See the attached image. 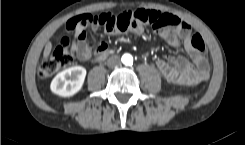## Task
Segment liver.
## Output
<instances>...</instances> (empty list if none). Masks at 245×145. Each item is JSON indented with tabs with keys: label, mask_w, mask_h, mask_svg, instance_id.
<instances>
[{
	"label": "liver",
	"mask_w": 245,
	"mask_h": 145,
	"mask_svg": "<svg viewBox=\"0 0 245 145\" xmlns=\"http://www.w3.org/2000/svg\"><path fill=\"white\" fill-rule=\"evenodd\" d=\"M51 50H52V43L49 41V42H47V44L45 45V48H44V52H43L44 60H46L49 57Z\"/></svg>",
	"instance_id": "1"
}]
</instances>
